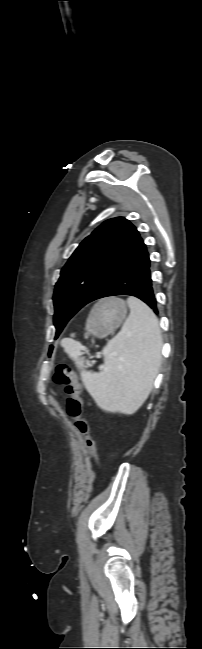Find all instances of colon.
<instances>
[{
    "label": "colon",
    "instance_id": "5ec220e1",
    "mask_svg": "<svg viewBox=\"0 0 202 649\" xmlns=\"http://www.w3.org/2000/svg\"><path fill=\"white\" fill-rule=\"evenodd\" d=\"M53 379L55 383L64 386L67 394L66 409L68 415L74 420L78 434L83 438L87 452L93 465L98 467L95 441L91 436L89 421L83 417L82 387L73 368L67 364H58L55 368Z\"/></svg>",
    "mask_w": 202,
    "mask_h": 649
}]
</instances>
